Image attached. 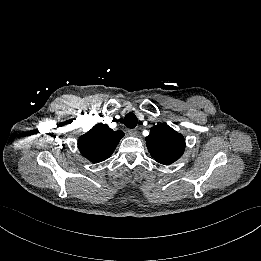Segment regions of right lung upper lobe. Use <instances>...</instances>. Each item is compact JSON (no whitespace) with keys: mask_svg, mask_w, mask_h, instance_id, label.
<instances>
[{"mask_svg":"<svg viewBox=\"0 0 261 261\" xmlns=\"http://www.w3.org/2000/svg\"><path fill=\"white\" fill-rule=\"evenodd\" d=\"M123 136L122 131L99 123L79 138L78 148L89 161L98 163L111 156Z\"/></svg>","mask_w":261,"mask_h":261,"instance_id":"right-lung-upper-lobe-1","label":"right lung upper lobe"}]
</instances>
